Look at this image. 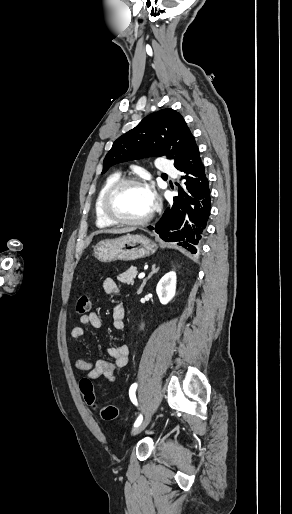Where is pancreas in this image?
<instances>
[{
	"mask_svg": "<svg viewBox=\"0 0 292 514\" xmlns=\"http://www.w3.org/2000/svg\"><path fill=\"white\" fill-rule=\"evenodd\" d=\"M137 274V268H129L127 272L119 274L117 280H119V282H122V284H134V278H136Z\"/></svg>",
	"mask_w": 292,
	"mask_h": 514,
	"instance_id": "cf45deb5",
	"label": "pancreas"
}]
</instances>
